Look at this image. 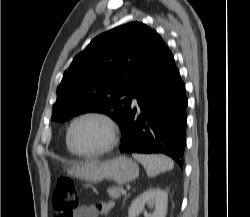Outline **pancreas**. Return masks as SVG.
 Masks as SVG:
<instances>
[{"label": "pancreas", "mask_w": 250, "mask_h": 217, "mask_svg": "<svg viewBox=\"0 0 250 217\" xmlns=\"http://www.w3.org/2000/svg\"><path fill=\"white\" fill-rule=\"evenodd\" d=\"M122 190V187H109L107 189V193L112 199H119L121 197Z\"/></svg>", "instance_id": "obj_1"}]
</instances>
